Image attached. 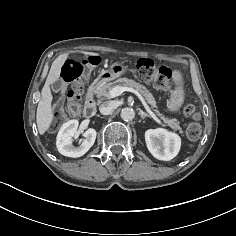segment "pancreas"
I'll return each instance as SVG.
<instances>
[{"label": "pancreas", "mask_w": 236, "mask_h": 236, "mask_svg": "<svg viewBox=\"0 0 236 236\" xmlns=\"http://www.w3.org/2000/svg\"><path fill=\"white\" fill-rule=\"evenodd\" d=\"M116 86L130 87V88L137 90L145 97V99L148 101V103L153 108L156 107L155 99H154L153 95L146 89V87L141 85L140 83H137L134 80L128 79V78H120L114 82H109V83H105L103 85L97 86V96L98 97H111L109 94V91ZM156 112H158V111H156ZM158 115H160V114H158ZM163 120L173 130L179 131L180 134H183V130L180 127L179 121L177 119L163 118Z\"/></svg>", "instance_id": "pancreas-1"}]
</instances>
